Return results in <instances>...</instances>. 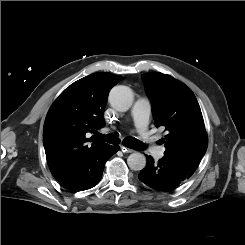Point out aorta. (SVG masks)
Returning <instances> with one entry per match:
<instances>
[{"instance_id": "1", "label": "aorta", "mask_w": 245, "mask_h": 245, "mask_svg": "<svg viewBox=\"0 0 245 245\" xmlns=\"http://www.w3.org/2000/svg\"><path fill=\"white\" fill-rule=\"evenodd\" d=\"M133 92L127 86H115L109 93L110 105L120 112L128 111L133 103ZM127 164L134 171L142 170L146 166V158L141 153H132L127 158Z\"/></svg>"}]
</instances>
